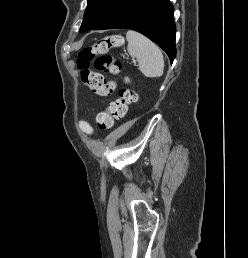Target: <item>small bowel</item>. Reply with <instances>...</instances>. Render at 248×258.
I'll list each match as a JSON object with an SVG mask.
<instances>
[{
  "mask_svg": "<svg viewBox=\"0 0 248 258\" xmlns=\"http://www.w3.org/2000/svg\"><path fill=\"white\" fill-rule=\"evenodd\" d=\"M80 127H81V129L86 133V134H92L93 133V128H92V126L89 124V123H87V122H84V121H82L81 123H80Z\"/></svg>",
  "mask_w": 248,
  "mask_h": 258,
  "instance_id": "1",
  "label": "small bowel"
}]
</instances>
